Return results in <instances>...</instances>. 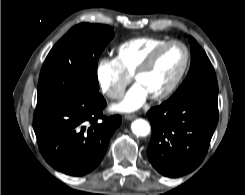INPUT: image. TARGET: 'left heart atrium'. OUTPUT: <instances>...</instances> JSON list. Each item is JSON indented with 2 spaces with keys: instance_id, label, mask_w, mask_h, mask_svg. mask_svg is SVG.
<instances>
[{
  "instance_id": "1",
  "label": "left heart atrium",
  "mask_w": 245,
  "mask_h": 195,
  "mask_svg": "<svg viewBox=\"0 0 245 195\" xmlns=\"http://www.w3.org/2000/svg\"><path fill=\"white\" fill-rule=\"evenodd\" d=\"M146 90L138 83L133 85L124 99L113 106V109L121 112H131L140 108L148 97Z\"/></svg>"
}]
</instances>
